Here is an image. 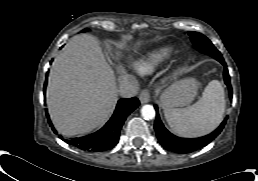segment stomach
Listing matches in <instances>:
<instances>
[{"label":"stomach","instance_id":"0dacf381","mask_svg":"<svg viewBox=\"0 0 258 181\" xmlns=\"http://www.w3.org/2000/svg\"><path fill=\"white\" fill-rule=\"evenodd\" d=\"M199 82L194 78L175 81L159 96V101L164 109L184 107L190 104L197 95Z\"/></svg>","mask_w":258,"mask_h":181}]
</instances>
